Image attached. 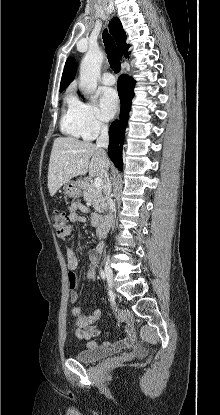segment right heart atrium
Here are the masks:
<instances>
[{
  "instance_id": "right-heart-atrium-1",
  "label": "right heart atrium",
  "mask_w": 220,
  "mask_h": 415,
  "mask_svg": "<svg viewBox=\"0 0 220 415\" xmlns=\"http://www.w3.org/2000/svg\"><path fill=\"white\" fill-rule=\"evenodd\" d=\"M83 132L87 139H93L106 130L105 123L99 118L96 107L89 102L80 104Z\"/></svg>"
}]
</instances>
